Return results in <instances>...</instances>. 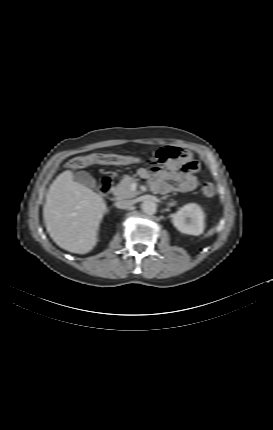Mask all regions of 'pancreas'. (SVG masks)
<instances>
[{
    "label": "pancreas",
    "instance_id": "obj_1",
    "mask_svg": "<svg viewBox=\"0 0 273 430\" xmlns=\"http://www.w3.org/2000/svg\"><path fill=\"white\" fill-rule=\"evenodd\" d=\"M135 182V179L129 175H125L121 182L113 188V193L116 200L131 199L136 197L139 192L133 190L131 185Z\"/></svg>",
    "mask_w": 273,
    "mask_h": 430
}]
</instances>
